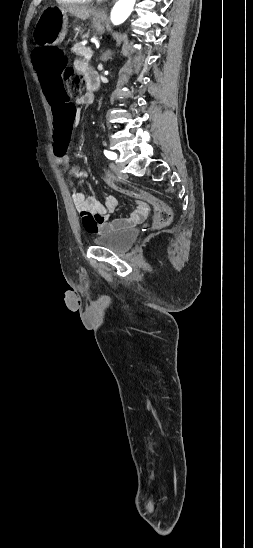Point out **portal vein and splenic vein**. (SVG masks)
<instances>
[{
  "mask_svg": "<svg viewBox=\"0 0 253 548\" xmlns=\"http://www.w3.org/2000/svg\"><path fill=\"white\" fill-rule=\"evenodd\" d=\"M93 53L90 51L88 54L85 55L86 60H90L92 58Z\"/></svg>",
  "mask_w": 253,
  "mask_h": 548,
  "instance_id": "portal-vein-and-splenic-vein-1",
  "label": "portal vein and splenic vein"
}]
</instances>
